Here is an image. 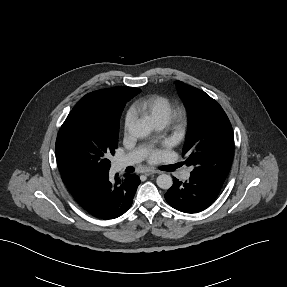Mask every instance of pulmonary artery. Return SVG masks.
I'll return each instance as SVG.
<instances>
[{
	"instance_id": "obj_1",
	"label": "pulmonary artery",
	"mask_w": 287,
	"mask_h": 287,
	"mask_svg": "<svg viewBox=\"0 0 287 287\" xmlns=\"http://www.w3.org/2000/svg\"><path fill=\"white\" fill-rule=\"evenodd\" d=\"M157 130H161L164 126L163 125H155ZM146 151L143 148H138L134 150L133 152L129 153L126 156H123L119 158L115 164L116 170L120 171L126 168L127 166L134 165L142 160V158L145 156ZM191 174V169L186 168L182 172V178L188 179Z\"/></svg>"
}]
</instances>
